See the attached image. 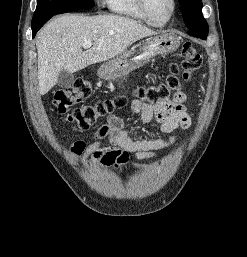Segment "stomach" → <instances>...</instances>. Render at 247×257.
I'll return each mask as SVG.
<instances>
[{
    "mask_svg": "<svg viewBox=\"0 0 247 257\" xmlns=\"http://www.w3.org/2000/svg\"><path fill=\"white\" fill-rule=\"evenodd\" d=\"M179 44V38L175 35L148 38L103 64L98 70V75L104 80L123 77L149 62L154 56L176 50Z\"/></svg>",
    "mask_w": 247,
    "mask_h": 257,
    "instance_id": "0dacf381",
    "label": "stomach"
}]
</instances>
